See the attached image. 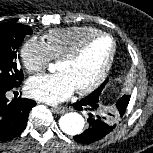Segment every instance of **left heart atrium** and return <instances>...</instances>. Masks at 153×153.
I'll list each match as a JSON object with an SVG mask.
<instances>
[{
  "label": "left heart atrium",
  "instance_id": "obj_1",
  "mask_svg": "<svg viewBox=\"0 0 153 153\" xmlns=\"http://www.w3.org/2000/svg\"><path fill=\"white\" fill-rule=\"evenodd\" d=\"M74 90L68 76L63 72L35 76L27 83L30 97L49 104L66 100Z\"/></svg>",
  "mask_w": 153,
  "mask_h": 153
}]
</instances>
